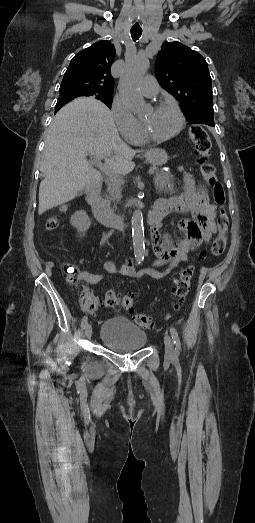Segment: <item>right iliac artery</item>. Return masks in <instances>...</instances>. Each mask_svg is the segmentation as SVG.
Returning a JSON list of instances; mask_svg holds the SVG:
<instances>
[{"mask_svg": "<svg viewBox=\"0 0 255 523\" xmlns=\"http://www.w3.org/2000/svg\"><path fill=\"white\" fill-rule=\"evenodd\" d=\"M87 320H88L87 316H84L83 319H82V323H81L83 329L86 327Z\"/></svg>", "mask_w": 255, "mask_h": 523, "instance_id": "82829eb1", "label": "right iliac artery"}]
</instances>
